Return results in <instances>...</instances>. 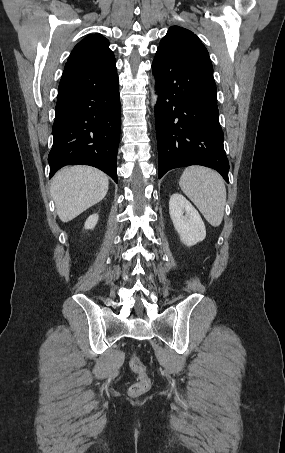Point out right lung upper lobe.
<instances>
[{"mask_svg": "<svg viewBox=\"0 0 285 453\" xmlns=\"http://www.w3.org/2000/svg\"><path fill=\"white\" fill-rule=\"evenodd\" d=\"M115 63L108 39L97 33L88 35L74 47L65 69L103 71L115 67Z\"/></svg>", "mask_w": 285, "mask_h": 453, "instance_id": "right-lung-upper-lobe-1", "label": "right lung upper lobe"}]
</instances>
